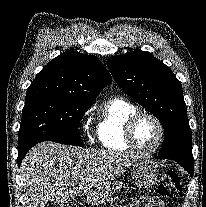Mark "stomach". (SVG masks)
Returning a JSON list of instances; mask_svg holds the SVG:
<instances>
[{"label":"stomach","mask_w":206,"mask_h":207,"mask_svg":"<svg viewBox=\"0 0 206 207\" xmlns=\"http://www.w3.org/2000/svg\"><path fill=\"white\" fill-rule=\"evenodd\" d=\"M131 177L136 186L147 188L157 182L158 171L153 162L139 159L132 166ZM121 187V182L113 181L106 191V196L110 197L112 194L120 190Z\"/></svg>","instance_id":"stomach-1"}]
</instances>
